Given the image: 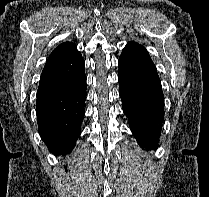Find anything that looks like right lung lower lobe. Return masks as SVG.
I'll return each instance as SVG.
<instances>
[{"mask_svg": "<svg viewBox=\"0 0 209 197\" xmlns=\"http://www.w3.org/2000/svg\"><path fill=\"white\" fill-rule=\"evenodd\" d=\"M84 70V59L76 51L41 75L36 101L38 130L52 153H69L81 133L86 99Z\"/></svg>", "mask_w": 209, "mask_h": 197, "instance_id": "obj_1", "label": "right lung lower lobe"}]
</instances>
